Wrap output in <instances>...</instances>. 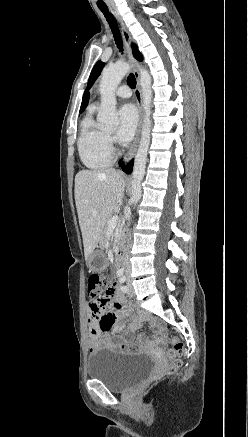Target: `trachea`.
I'll use <instances>...</instances> for the list:
<instances>
[{
  "label": "trachea",
  "mask_w": 248,
  "mask_h": 437,
  "mask_svg": "<svg viewBox=\"0 0 248 437\" xmlns=\"http://www.w3.org/2000/svg\"><path fill=\"white\" fill-rule=\"evenodd\" d=\"M101 10V12L104 14L110 28L111 31L113 33L114 39H115V43L117 45V48L119 49L120 52H123V42H122V37L117 25V22L114 18V16L109 12L108 8H99ZM128 85L134 89L135 85H136V79L135 76L131 73L128 76Z\"/></svg>",
  "instance_id": "1"
}]
</instances>
